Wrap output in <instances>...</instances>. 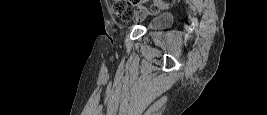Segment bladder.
Masks as SVG:
<instances>
[{
    "label": "bladder",
    "mask_w": 267,
    "mask_h": 115,
    "mask_svg": "<svg viewBox=\"0 0 267 115\" xmlns=\"http://www.w3.org/2000/svg\"><path fill=\"white\" fill-rule=\"evenodd\" d=\"M172 23V18L167 13H162L154 16L148 23V29L159 31L169 27Z\"/></svg>",
    "instance_id": "1"
}]
</instances>
